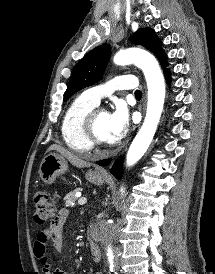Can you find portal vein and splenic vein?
Here are the masks:
<instances>
[{"label": "portal vein and splenic vein", "mask_w": 215, "mask_h": 274, "mask_svg": "<svg viewBox=\"0 0 215 274\" xmlns=\"http://www.w3.org/2000/svg\"><path fill=\"white\" fill-rule=\"evenodd\" d=\"M86 203H87V199L84 198V197H82V198H80V199L78 200V204H79V205H84V204H86Z\"/></svg>", "instance_id": "portal-vein-and-splenic-vein-1"}]
</instances>
